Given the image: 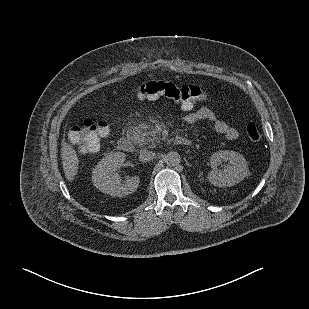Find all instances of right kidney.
<instances>
[{"instance_id": "1", "label": "right kidney", "mask_w": 309, "mask_h": 309, "mask_svg": "<svg viewBox=\"0 0 309 309\" xmlns=\"http://www.w3.org/2000/svg\"><path fill=\"white\" fill-rule=\"evenodd\" d=\"M122 152L112 153L103 158L93 170L94 186L103 193L111 196H126L134 193L140 183L138 176L127 177L124 182L117 171L125 160Z\"/></svg>"}]
</instances>
